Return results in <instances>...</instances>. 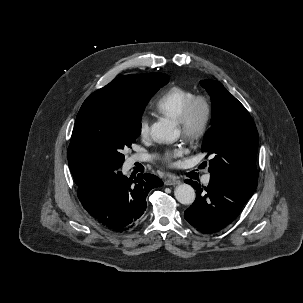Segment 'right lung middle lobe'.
<instances>
[{"label": "right lung middle lobe", "mask_w": 303, "mask_h": 303, "mask_svg": "<svg viewBox=\"0 0 303 303\" xmlns=\"http://www.w3.org/2000/svg\"><path fill=\"white\" fill-rule=\"evenodd\" d=\"M168 83L159 74L141 96H123L110 91L94 92L83 103L75 122L71 142L90 153L99 171L118 170L124 161L123 149L135 143L141 132V115L150 98ZM76 183L91 176L76 163H69Z\"/></svg>", "instance_id": "1"}]
</instances>
